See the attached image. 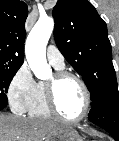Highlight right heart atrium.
Returning a JSON list of instances; mask_svg holds the SVG:
<instances>
[{
    "label": "right heart atrium",
    "mask_w": 119,
    "mask_h": 141,
    "mask_svg": "<svg viewBox=\"0 0 119 141\" xmlns=\"http://www.w3.org/2000/svg\"><path fill=\"white\" fill-rule=\"evenodd\" d=\"M37 91L29 66L23 63L10 80L7 96L11 108L17 113L27 112Z\"/></svg>",
    "instance_id": "1"
}]
</instances>
